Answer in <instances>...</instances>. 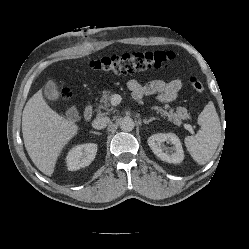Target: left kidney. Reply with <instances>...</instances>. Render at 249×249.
Instances as JSON below:
<instances>
[{"label": "left kidney", "mask_w": 249, "mask_h": 249, "mask_svg": "<svg viewBox=\"0 0 249 249\" xmlns=\"http://www.w3.org/2000/svg\"><path fill=\"white\" fill-rule=\"evenodd\" d=\"M164 142L173 145L174 152L172 154L163 151L162 144ZM148 145L153 153L165 162L175 164L182 162L184 159V152L180 139L173 133L154 134L148 138Z\"/></svg>", "instance_id": "obj_1"}]
</instances>
